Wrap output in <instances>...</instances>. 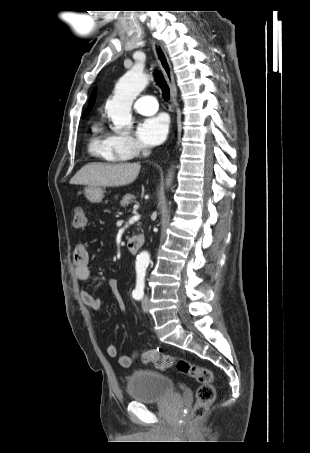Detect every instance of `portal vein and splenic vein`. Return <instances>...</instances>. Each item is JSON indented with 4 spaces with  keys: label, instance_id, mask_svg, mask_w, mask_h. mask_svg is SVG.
Returning <instances> with one entry per match:
<instances>
[{
    "label": "portal vein and splenic vein",
    "instance_id": "portal-vein-and-splenic-vein-1",
    "mask_svg": "<svg viewBox=\"0 0 310 453\" xmlns=\"http://www.w3.org/2000/svg\"><path fill=\"white\" fill-rule=\"evenodd\" d=\"M138 208H139V206L137 204L134 205V207H133L134 210H137Z\"/></svg>",
    "mask_w": 310,
    "mask_h": 453
}]
</instances>
